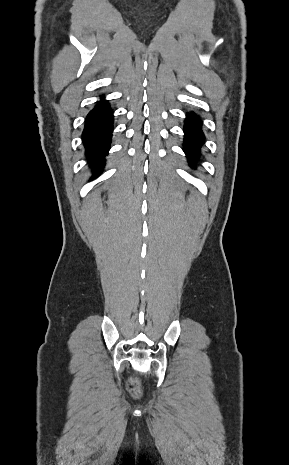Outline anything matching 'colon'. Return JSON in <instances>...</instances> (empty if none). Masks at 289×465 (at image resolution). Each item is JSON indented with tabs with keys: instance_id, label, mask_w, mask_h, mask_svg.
<instances>
[{
	"instance_id": "1",
	"label": "colon",
	"mask_w": 289,
	"mask_h": 465,
	"mask_svg": "<svg viewBox=\"0 0 289 465\" xmlns=\"http://www.w3.org/2000/svg\"><path fill=\"white\" fill-rule=\"evenodd\" d=\"M129 387L131 388L132 391L136 392L138 389V383L136 380L131 379L129 382Z\"/></svg>"
}]
</instances>
